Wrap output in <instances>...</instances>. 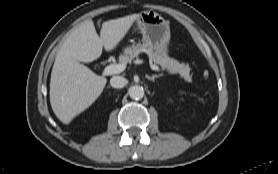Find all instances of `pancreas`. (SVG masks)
Instances as JSON below:
<instances>
[{
    "mask_svg": "<svg viewBox=\"0 0 278 174\" xmlns=\"http://www.w3.org/2000/svg\"><path fill=\"white\" fill-rule=\"evenodd\" d=\"M146 52L149 59L166 69L171 74H179L185 81L190 82V67L188 64L179 63L177 60L170 58L167 54L148 48L145 44L127 47L124 54L120 55L119 61L123 64L129 63L139 53Z\"/></svg>",
    "mask_w": 278,
    "mask_h": 174,
    "instance_id": "1",
    "label": "pancreas"
}]
</instances>
